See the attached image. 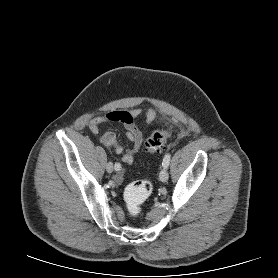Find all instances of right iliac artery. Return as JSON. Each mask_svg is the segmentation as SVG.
Here are the masks:
<instances>
[{
  "label": "right iliac artery",
  "mask_w": 278,
  "mask_h": 278,
  "mask_svg": "<svg viewBox=\"0 0 278 278\" xmlns=\"http://www.w3.org/2000/svg\"><path fill=\"white\" fill-rule=\"evenodd\" d=\"M114 168L116 171H119V170H121V165L119 163H116Z\"/></svg>",
  "instance_id": "1"
}]
</instances>
